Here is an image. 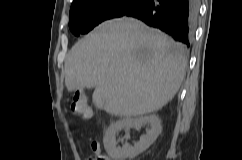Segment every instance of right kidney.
I'll return each mask as SVG.
<instances>
[{"label": "right kidney", "instance_id": "1", "mask_svg": "<svg viewBox=\"0 0 242 160\" xmlns=\"http://www.w3.org/2000/svg\"><path fill=\"white\" fill-rule=\"evenodd\" d=\"M149 125L151 130L140 137V141L134 146L124 143L122 147L117 146L116 134L122 129L140 128ZM162 125L159 117L155 114L137 117L124 118L111 124L103 138L104 148L107 154L114 160L133 159L144 152L161 133Z\"/></svg>", "mask_w": 242, "mask_h": 160}]
</instances>
